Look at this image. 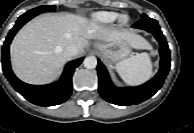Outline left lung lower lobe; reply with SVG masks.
I'll list each match as a JSON object with an SVG mask.
<instances>
[{"instance_id":"1","label":"left lung lower lobe","mask_w":194,"mask_h":133,"mask_svg":"<svg viewBox=\"0 0 194 133\" xmlns=\"http://www.w3.org/2000/svg\"><path fill=\"white\" fill-rule=\"evenodd\" d=\"M132 27L152 33L159 42L161 56L160 70L153 79L144 85L138 87L118 88L113 85L105 66L99 60L97 67L99 93L104 100L120 106L139 104L152 97L161 88L170 69V50L167 41L160 30L158 22L147 16L137 21Z\"/></svg>"}]
</instances>
